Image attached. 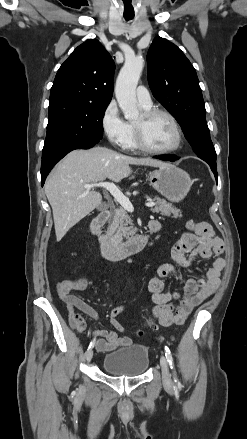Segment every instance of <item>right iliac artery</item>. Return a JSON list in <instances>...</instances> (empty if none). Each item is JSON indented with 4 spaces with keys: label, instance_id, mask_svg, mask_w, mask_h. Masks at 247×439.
I'll return each mask as SVG.
<instances>
[{
    "label": "right iliac artery",
    "instance_id": "1",
    "mask_svg": "<svg viewBox=\"0 0 247 439\" xmlns=\"http://www.w3.org/2000/svg\"><path fill=\"white\" fill-rule=\"evenodd\" d=\"M94 346V341H91L89 344V348H92Z\"/></svg>",
    "mask_w": 247,
    "mask_h": 439
}]
</instances>
